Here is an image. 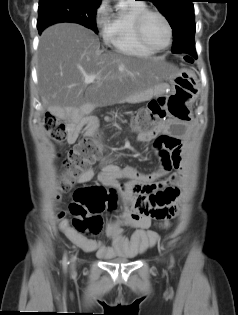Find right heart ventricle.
<instances>
[{"label":"right heart ventricle","instance_id":"1","mask_svg":"<svg viewBox=\"0 0 238 315\" xmlns=\"http://www.w3.org/2000/svg\"><path fill=\"white\" fill-rule=\"evenodd\" d=\"M147 7L138 0H125L109 19L106 20L102 38L113 51L124 55L147 57L155 52L144 47L135 33V20Z\"/></svg>","mask_w":238,"mask_h":315}]
</instances>
